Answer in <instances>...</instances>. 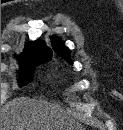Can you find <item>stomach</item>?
I'll use <instances>...</instances> for the list:
<instances>
[{
	"label": "stomach",
	"instance_id": "0dacf381",
	"mask_svg": "<svg viewBox=\"0 0 123 130\" xmlns=\"http://www.w3.org/2000/svg\"><path fill=\"white\" fill-rule=\"evenodd\" d=\"M71 130H80V129H71Z\"/></svg>",
	"mask_w": 123,
	"mask_h": 130
}]
</instances>
